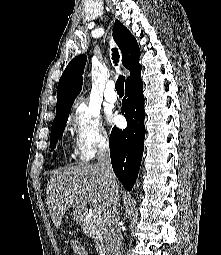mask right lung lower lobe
<instances>
[{
    "label": "right lung lower lobe",
    "mask_w": 221,
    "mask_h": 255,
    "mask_svg": "<svg viewBox=\"0 0 221 255\" xmlns=\"http://www.w3.org/2000/svg\"><path fill=\"white\" fill-rule=\"evenodd\" d=\"M142 69V68H141ZM141 69L125 83L121 112L127 120L124 130L112 129L109 146L115 175L127 190H132L144 150V95Z\"/></svg>",
    "instance_id": "right-lung-lower-lobe-1"
}]
</instances>
